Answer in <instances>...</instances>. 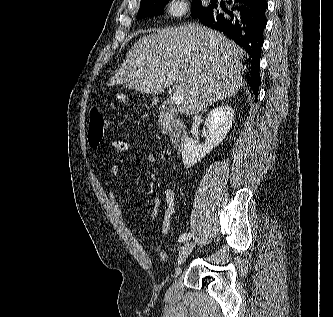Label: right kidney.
Listing matches in <instances>:
<instances>
[{
	"instance_id": "right-kidney-1",
	"label": "right kidney",
	"mask_w": 333,
	"mask_h": 317,
	"mask_svg": "<svg viewBox=\"0 0 333 317\" xmlns=\"http://www.w3.org/2000/svg\"><path fill=\"white\" fill-rule=\"evenodd\" d=\"M234 109L231 106H219L212 109L206 119L208 135L204 144H196L192 138L185 139L182 146V161L190 168L218 146L232 128Z\"/></svg>"
}]
</instances>
